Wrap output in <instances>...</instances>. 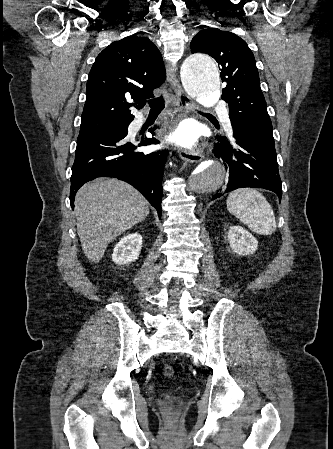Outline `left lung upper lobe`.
<instances>
[{
  "mask_svg": "<svg viewBox=\"0 0 333 449\" xmlns=\"http://www.w3.org/2000/svg\"><path fill=\"white\" fill-rule=\"evenodd\" d=\"M190 48L192 53L209 54L218 62L222 82L226 84L222 99L229 105L231 125L274 139L255 58L247 43L234 33L210 28L199 31Z\"/></svg>",
  "mask_w": 333,
  "mask_h": 449,
  "instance_id": "obj_1",
  "label": "left lung upper lobe"
}]
</instances>
